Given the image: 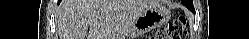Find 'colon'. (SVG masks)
<instances>
[{
    "label": "colon",
    "mask_w": 249,
    "mask_h": 39,
    "mask_svg": "<svg viewBox=\"0 0 249 39\" xmlns=\"http://www.w3.org/2000/svg\"><path fill=\"white\" fill-rule=\"evenodd\" d=\"M189 30L187 28V18L180 16L177 20L169 23L165 27L159 29L156 34L148 37L149 39H186Z\"/></svg>",
    "instance_id": "obj_1"
}]
</instances>
